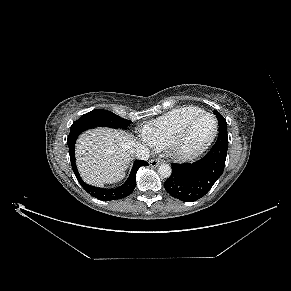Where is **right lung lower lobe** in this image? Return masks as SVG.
Masks as SVG:
<instances>
[{
  "instance_id": "98d812e1",
  "label": "right lung lower lobe",
  "mask_w": 291,
  "mask_h": 291,
  "mask_svg": "<svg viewBox=\"0 0 291 291\" xmlns=\"http://www.w3.org/2000/svg\"><path fill=\"white\" fill-rule=\"evenodd\" d=\"M96 126H91V125H76V124H72L71 126V130H70V134L68 135L67 138V144L69 147V155H70V160H71V165H72V169L75 173V176L78 180V182L81 184V186L87 191V193H89L90 195H92L93 197L103 200V201H110V200H117V199H121L124 197H127L128 195H130L136 186V172L137 170L141 167V166H146L148 165V163L146 161L143 160H136L133 164L131 173L128 177V179L126 180V182L121 185L120 187L114 188V189H100V188H96L93 186H90L88 184H86L80 177L77 167H76V163H75V142L78 138V136L85 130L93 128Z\"/></svg>"
}]
</instances>
